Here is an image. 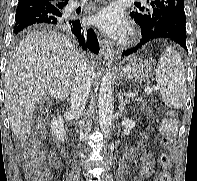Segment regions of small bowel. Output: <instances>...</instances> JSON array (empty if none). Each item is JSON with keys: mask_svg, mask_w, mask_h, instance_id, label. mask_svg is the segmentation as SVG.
Wrapping results in <instances>:
<instances>
[{"mask_svg": "<svg viewBox=\"0 0 197 181\" xmlns=\"http://www.w3.org/2000/svg\"><path fill=\"white\" fill-rule=\"evenodd\" d=\"M144 167L141 173V179L147 176L153 166V159L149 151L145 150L143 153Z\"/></svg>", "mask_w": 197, "mask_h": 181, "instance_id": "small-bowel-1", "label": "small bowel"}]
</instances>
